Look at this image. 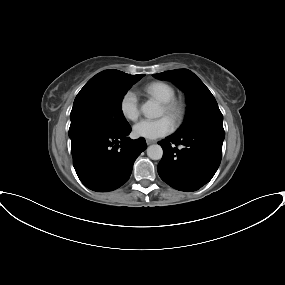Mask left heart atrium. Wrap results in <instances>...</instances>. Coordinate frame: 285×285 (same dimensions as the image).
I'll list each match as a JSON object with an SVG mask.
<instances>
[{
    "mask_svg": "<svg viewBox=\"0 0 285 285\" xmlns=\"http://www.w3.org/2000/svg\"><path fill=\"white\" fill-rule=\"evenodd\" d=\"M174 127V122L169 116H162L158 119L141 120L134 126L133 132L136 137L157 139L170 134Z\"/></svg>",
    "mask_w": 285,
    "mask_h": 285,
    "instance_id": "1",
    "label": "left heart atrium"
}]
</instances>
